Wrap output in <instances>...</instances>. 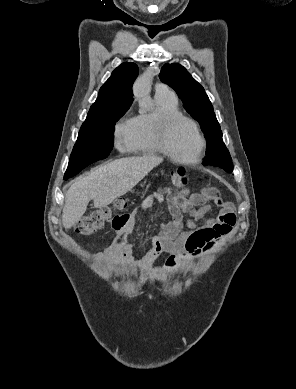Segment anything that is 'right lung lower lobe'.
<instances>
[{"label":"right lung lower lobe","mask_w":296,"mask_h":389,"mask_svg":"<svg viewBox=\"0 0 296 389\" xmlns=\"http://www.w3.org/2000/svg\"><path fill=\"white\" fill-rule=\"evenodd\" d=\"M80 171L81 170H73L71 172H66L65 176H64V180H67L68 178L73 177L74 175H76Z\"/></svg>","instance_id":"obj_1"}]
</instances>
